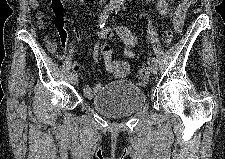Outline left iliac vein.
<instances>
[{
	"mask_svg": "<svg viewBox=\"0 0 225 159\" xmlns=\"http://www.w3.org/2000/svg\"><path fill=\"white\" fill-rule=\"evenodd\" d=\"M150 71L152 74H157V71H158L157 65L152 63L150 66Z\"/></svg>",
	"mask_w": 225,
	"mask_h": 159,
	"instance_id": "4c4485c4",
	"label": "left iliac vein"
}]
</instances>
